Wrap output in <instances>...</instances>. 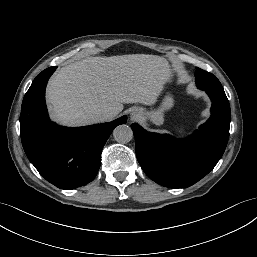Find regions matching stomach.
<instances>
[{"instance_id":"0dacf381","label":"stomach","mask_w":257,"mask_h":257,"mask_svg":"<svg viewBox=\"0 0 257 257\" xmlns=\"http://www.w3.org/2000/svg\"><path fill=\"white\" fill-rule=\"evenodd\" d=\"M172 81V75L170 73L167 82L170 83ZM174 105V100L171 95H166L163 99V102L159 109L157 110H151V111H143V115L146 119H148L150 122L160 125L164 121V112L166 110H169ZM143 110V109H141Z\"/></svg>"}]
</instances>
